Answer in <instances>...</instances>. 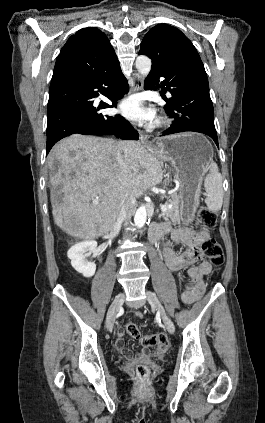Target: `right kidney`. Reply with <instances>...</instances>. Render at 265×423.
<instances>
[{
	"mask_svg": "<svg viewBox=\"0 0 265 423\" xmlns=\"http://www.w3.org/2000/svg\"><path fill=\"white\" fill-rule=\"evenodd\" d=\"M97 242L94 240H87L79 242L72 246L67 253L68 258L71 260L72 267L84 277H92L96 271L94 262H88L86 257L95 251ZM88 252V253H86Z\"/></svg>",
	"mask_w": 265,
	"mask_h": 423,
	"instance_id": "right-kidney-1",
	"label": "right kidney"
}]
</instances>
